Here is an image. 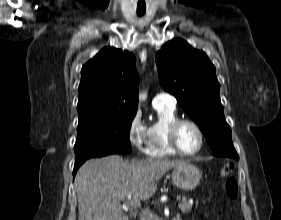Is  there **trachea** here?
Listing matches in <instances>:
<instances>
[{"mask_svg": "<svg viewBox=\"0 0 281 220\" xmlns=\"http://www.w3.org/2000/svg\"><path fill=\"white\" fill-rule=\"evenodd\" d=\"M137 13L139 16H142L145 14V10H137Z\"/></svg>", "mask_w": 281, "mask_h": 220, "instance_id": "trachea-1", "label": "trachea"}]
</instances>
